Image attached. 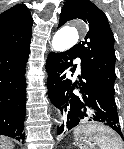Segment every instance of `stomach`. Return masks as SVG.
<instances>
[{
  "instance_id": "stomach-1",
  "label": "stomach",
  "mask_w": 124,
  "mask_h": 149,
  "mask_svg": "<svg viewBox=\"0 0 124 149\" xmlns=\"http://www.w3.org/2000/svg\"><path fill=\"white\" fill-rule=\"evenodd\" d=\"M85 126L89 127L92 130L91 134H97L100 131V128H104L110 136L117 137L111 129L105 128L103 126H98V127L95 125H85ZM75 141L76 142L79 141L81 143L83 142L89 143L90 141H93V140L91 139L89 135L86 134L85 131H83L78 136H76Z\"/></svg>"
}]
</instances>
